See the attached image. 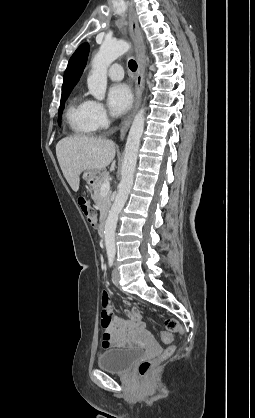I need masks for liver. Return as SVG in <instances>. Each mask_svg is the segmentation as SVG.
<instances>
[{"mask_svg": "<svg viewBox=\"0 0 255 418\" xmlns=\"http://www.w3.org/2000/svg\"><path fill=\"white\" fill-rule=\"evenodd\" d=\"M115 151L112 140L80 135L65 137L56 145L60 168L74 192L79 190L80 174L83 171L100 172L110 163L113 171Z\"/></svg>", "mask_w": 255, "mask_h": 418, "instance_id": "obj_1", "label": "liver"}]
</instances>
